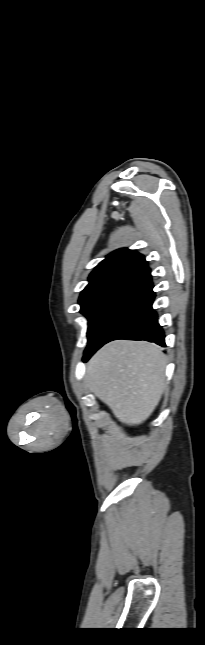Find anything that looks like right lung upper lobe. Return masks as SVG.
<instances>
[{"instance_id": "cb5924a9", "label": "right lung upper lobe", "mask_w": 205, "mask_h": 645, "mask_svg": "<svg viewBox=\"0 0 205 645\" xmlns=\"http://www.w3.org/2000/svg\"><path fill=\"white\" fill-rule=\"evenodd\" d=\"M152 288L150 268L144 256L134 250L119 249L109 254L90 274L79 303H89L123 289L152 291Z\"/></svg>"}]
</instances>
